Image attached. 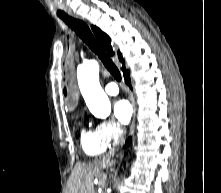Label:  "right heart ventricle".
Masks as SVG:
<instances>
[{
  "label": "right heart ventricle",
  "instance_id": "e07e8e85",
  "mask_svg": "<svg viewBox=\"0 0 221 193\" xmlns=\"http://www.w3.org/2000/svg\"><path fill=\"white\" fill-rule=\"evenodd\" d=\"M81 146L89 156H98L110 147L105 144L94 130L84 129L81 133Z\"/></svg>",
  "mask_w": 221,
  "mask_h": 193
}]
</instances>
